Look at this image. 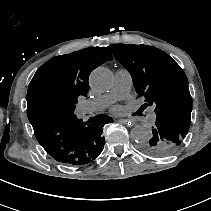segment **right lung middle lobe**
I'll return each mask as SVG.
<instances>
[{"instance_id":"dd1d6c3e","label":"right lung middle lobe","mask_w":211,"mask_h":211,"mask_svg":"<svg viewBox=\"0 0 211 211\" xmlns=\"http://www.w3.org/2000/svg\"><path fill=\"white\" fill-rule=\"evenodd\" d=\"M75 104H71L57 113V116H68L74 114Z\"/></svg>"}]
</instances>
